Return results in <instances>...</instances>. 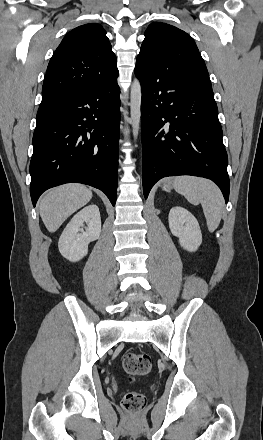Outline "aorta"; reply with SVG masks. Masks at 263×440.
I'll list each match as a JSON object with an SVG mask.
<instances>
[{
  "label": "aorta",
  "mask_w": 263,
  "mask_h": 440,
  "mask_svg": "<svg viewBox=\"0 0 263 440\" xmlns=\"http://www.w3.org/2000/svg\"><path fill=\"white\" fill-rule=\"evenodd\" d=\"M141 99H142L141 84L139 80L135 79L132 83L131 91H130L131 125L135 140L138 137L139 128H140Z\"/></svg>",
  "instance_id": "obj_1"
}]
</instances>
